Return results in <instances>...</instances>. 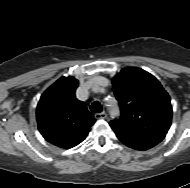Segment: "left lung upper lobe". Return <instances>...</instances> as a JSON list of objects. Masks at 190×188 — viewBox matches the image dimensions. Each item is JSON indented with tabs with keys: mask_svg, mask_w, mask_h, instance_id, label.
Wrapping results in <instances>:
<instances>
[{
	"mask_svg": "<svg viewBox=\"0 0 190 188\" xmlns=\"http://www.w3.org/2000/svg\"><path fill=\"white\" fill-rule=\"evenodd\" d=\"M112 83L121 116L110 123L167 134L172 119L170 97L153 75L137 67H127L112 79Z\"/></svg>",
	"mask_w": 190,
	"mask_h": 188,
	"instance_id": "left-lung-upper-lobe-1",
	"label": "left lung upper lobe"
}]
</instances>
